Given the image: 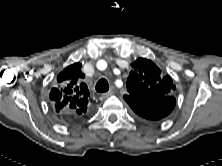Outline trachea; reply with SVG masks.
I'll return each mask as SVG.
<instances>
[{
  "label": "trachea",
  "mask_w": 222,
  "mask_h": 166,
  "mask_svg": "<svg viewBox=\"0 0 222 166\" xmlns=\"http://www.w3.org/2000/svg\"><path fill=\"white\" fill-rule=\"evenodd\" d=\"M96 90L99 93H104L109 90V83L106 79L102 78L100 79L96 84Z\"/></svg>",
  "instance_id": "obj_1"
}]
</instances>
